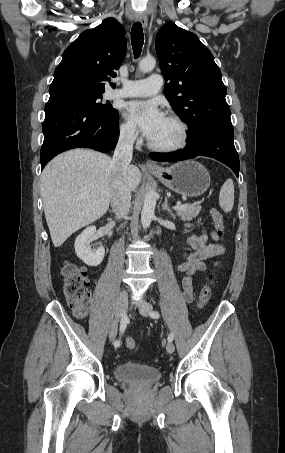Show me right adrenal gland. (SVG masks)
<instances>
[{"label": "right adrenal gland", "mask_w": 285, "mask_h": 453, "mask_svg": "<svg viewBox=\"0 0 285 453\" xmlns=\"http://www.w3.org/2000/svg\"><path fill=\"white\" fill-rule=\"evenodd\" d=\"M110 213H112L113 211L112 210H109Z\"/></svg>", "instance_id": "1"}]
</instances>
